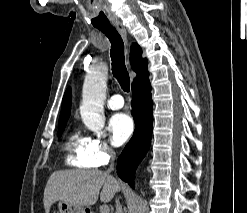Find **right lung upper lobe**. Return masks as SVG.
I'll return each instance as SVG.
<instances>
[{
    "label": "right lung upper lobe",
    "mask_w": 247,
    "mask_h": 213,
    "mask_svg": "<svg viewBox=\"0 0 247 213\" xmlns=\"http://www.w3.org/2000/svg\"><path fill=\"white\" fill-rule=\"evenodd\" d=\"M130 64L132 69L137 73V77L133 82H136L140 78L147 76V60L142 58V50L141 48L134 43L131 47L130 51ZM71 110V89L70 87L66 90L63 100H62V108L59 117V124L66 123Z\"/></svg>",
    "instance_id": "obj_1"
}]
</instances>
